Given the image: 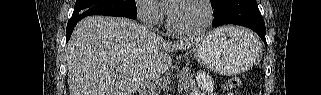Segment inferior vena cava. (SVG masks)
I'll list each match as a JSON object with an SVG mask.
<instances>
[{
  "mask_svg": "<svg viewBox=\"0 0 321 95\" xmlns=\"http://www.w3.org/2000/svg\"><path fill=\"white\" fill-rule=\"evenodd\" d=\"M139 95H158L155 84L149 79L143 81L139 88Z\"/></svg>",
  "mask_w": 321,
  "mask_h": 95,
  "instance_id": "602c4592",
  "label": "inferior vena cava"
}]
</instances>
